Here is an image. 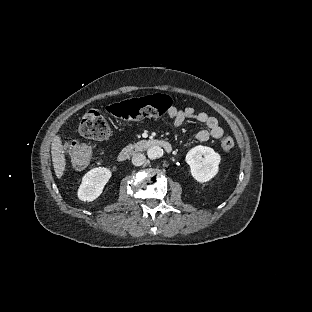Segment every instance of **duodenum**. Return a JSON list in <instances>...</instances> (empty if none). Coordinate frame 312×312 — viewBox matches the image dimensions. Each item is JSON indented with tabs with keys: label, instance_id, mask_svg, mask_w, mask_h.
Returning <instances> with one entry per match:
<instances>
[{
	"label": "duodenum",
	"instance_id": "obj_1",
	"mask_svg": "<svg viewBox=\"0 0 312 312\" xmlns=\"http://www.w3.org/2000/svg\"><path fill=\"white\" fill-rule=\"evenodd\" d=\"M151 147H161L168 153L173 151L171 142L161 138H149L137 143L125 146L119 153L118 158L120 161H125L136 152L145 151Z\"/></svg>",
	"mask_w": 312,
	"mask_h": 312
}]
</instances>
